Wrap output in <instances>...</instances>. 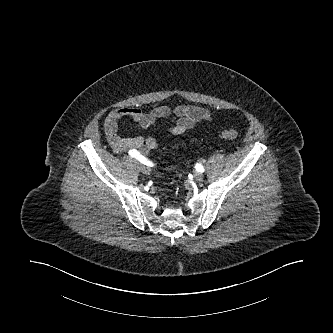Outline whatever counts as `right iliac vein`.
Masks as SVG:
<instances>
[{
	"label": "right iliac vein",
	"mask_w": 333,
	"mask_h": 333,
	"mask_svg": "<svg viewBox=\"0 0 333 333\" xmlns=\"http://www.w3.org/2000/svg\"><path fill=\"white\" fill-rule=\"evenodd\" d=\"M140 170L143 174H150V168L146 166L145 164H140Z\"/></svg>",
	"instance_id": "obj_1"
}]
</instances>
